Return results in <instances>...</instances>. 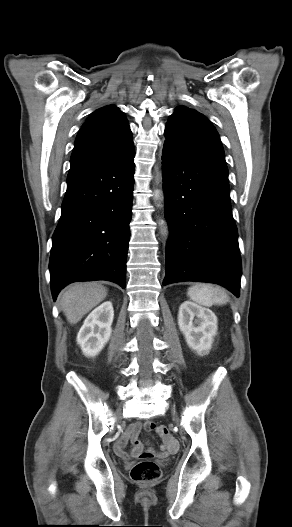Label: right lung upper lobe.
Segmentation results:
<instances>
[{
  "mask_svg": "<svg viewBox=\"0 0 292 527\" xmlns=\"http://www.w3.org/2000/svg\"><path fill=\"white\" fill-rule=\"evenodd\" d=\"M134 149L128 121L116 106L109 105L91 113L79 130L71 161L103 159Z\"/></svg>",
  "mask_w": 292,
  "mask_h": 527,
  "instance_id": "right-lung-upper-lobe-1",
  "label": "right lung upper lobe"
}]
</instances>
